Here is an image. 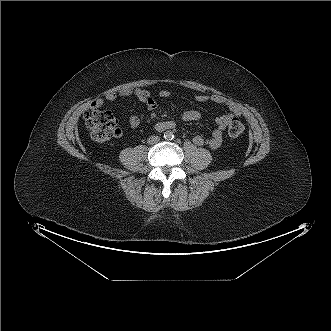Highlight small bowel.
I'll list each match as a JSON object with an SVG mask.
<instances>
[{
  "label": "small bowel",
  "instance_id": "1",
  "mask_svg": "<svg viewBox=\"0 0 331 331\" xmlns=\"http://www.w3.org/2000/svg\"><path fill=\"white\" fill-rule=\"evenodd\" d=\"M172 95L169 90H161L158 93V96L161 98H168ZM123 96H133L137 98L139 101L145 104L146 111L151 112L157 108V102L154 98L153 93L148 90H144L141 88H131L123 91H113L109 92L105 95V98L109 101H114L119 97ZM194 100L197 102H213L216 104L223 105L227 107L228 112L223 113L218 116L215 120V126L212 130V133L209 138H204L201 135H196L193 137V143L197 146L208 145L211 149H217L220 147L222 143V133L232 121V119L239 117L242 114L241 107L230 100L229 98L219 95V94H199L194 96ZM103 99L99 98L92 102L91 107L99 108L103 105ZM146 114H142L140 116L133 115L128 118V126L131 129H136L145 119ZM201 118V113L197 110H187L183 113L181 119L183 122H194L198 121ZM168 123H173L171 121H161L156 124V129L158 131L166 130V125Z\"/></svg>",
  "mask_w": 331,
  "mask_h": 331
}]
</instances>
